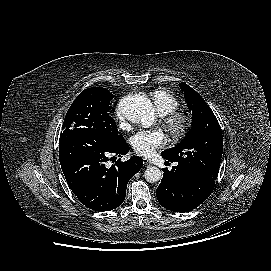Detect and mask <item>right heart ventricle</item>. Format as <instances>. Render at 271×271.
I'll return each instance as SVG.
<instances>
[{"mask_svg": "<svg viewBox=\"0 0 271 271\" xmlns=\"http://www.w3.org/2000/svg\"><path fill=\"white\" fill-rule=\"evenodd\" d=\"M152 97L157 110L162 115L173 113L179 107L178 100L164 90H156Z\"/></svg>", "mask_w": 271, "mask_h": 271, "instance_id": "e07e8e85", "label": "right heart ventricle"}]
</instances>
